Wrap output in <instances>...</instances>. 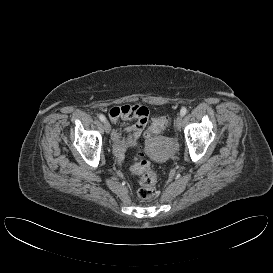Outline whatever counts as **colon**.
Wrapping results in <instances>:
<instances>
[{"mask_svg": "<svg viewBox=\"0 0 273 273\" xmlns=\"http://www.w3.org/2000/svg\"><path fill=\"white\" fill-rule=\"evenodd\" d=\"M168 116H161L153 120L146 136H154L163 132L169 124ZM131 171L139 176L138 197L142 200H149L157 194V173L151 168L150 163L144 158H139L131 167Z\"/></svg>", "mask_w": 273, "mask_h": 273, "instance_id": "1", "label": "colon"}]
</instances>
